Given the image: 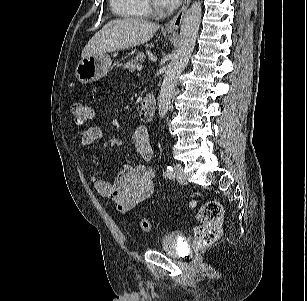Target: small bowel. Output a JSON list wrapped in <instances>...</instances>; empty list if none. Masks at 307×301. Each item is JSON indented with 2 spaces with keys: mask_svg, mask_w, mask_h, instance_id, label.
I'll return each instance as SVG.
<instances>
[{
  "mask_svg": "<svg viewBox=\"0 0 307 301\" xmlns=\"http://www.w3.org/2000/svg\"><path fill=\"white\" fill-rule=\"evenodd\" d=\"M103 139V131L99 127H90L85 130L81 137V144L89 149L93 143ZM134 148L144 161L153 157L150 143V133L146 126H138L132 136ZM91 181L97 192L104 198L109 199L120 213L131 211L138 204L150 198L155 192V170L148 165L125 167L110 184L91 173Z\"/></svg>",
  "mask_w": 307,
  "mask_h": 301,
  "instance_id": "c3829d8e",
  "label": "small bowel"
}]
</instances>
